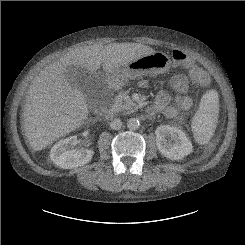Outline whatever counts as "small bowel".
Returning a JSON list of instances; mask_svg holds the SVG:
<instances>
[{"label":"small bowel","mask_w":245,"mask_h":245,"mask_svg":"<svg viewBox=\"0 0 245 245\" xmlns=\"http://www.w3.org/2000/svg\"><path fill=\"white\" fill-rule=\"evenodd\" d=\"M171 86L175 91L172 98L165 90H160L154 100L153 105L147 109L149 118L161 113L168 118H174L181 112L188 110L193 105V99L186 94L188 81L186 76L177 74L171 79Z\"/></svg>","instance_id":"obj_1"}]
</instances>
